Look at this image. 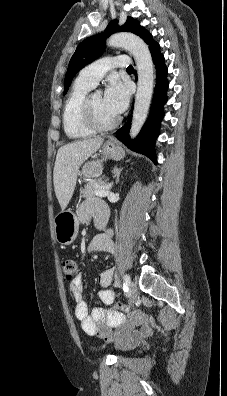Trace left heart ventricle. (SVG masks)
Segmentation results:
<instances>
[{
  "mask_svg": "<svg viewBox=\"0 0 227 396\" xmlns=\"http://www.w3.org/2000/svg\"><path fill=\"white\" fill-rule=\"evenodd\" d=\"M91 104L93 107V110L97 116V118L101 121V122H109L112 119L115 118L114 115H112L104 106L103 103V97L101 95L98 94H94L91 96Z\"/></svg>",
  "mask_w": 227,
  "mask_h": 396,
  "instance_id": "left-heart-ventricle-1",
  "label": "left heart ventricle"
}]
</instances>
